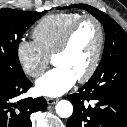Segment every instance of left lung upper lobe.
I'll return each mask as SVG.
<instances>
[{"label": "left lung upper lobe", "instance_id": "left-lung-upper-lobe-1", "mask_svg": "<svg viewBox=\"0 0 127 127\" xmlns=\"http://www.w3.org/2000/svg\"><path fill=\"white\" fill-rule=\"evenodd\" d=\"M66 8H82L96 17L104 26L105 48L102 60L94 74L103 71L115 62L127 61V34L112 18L106 13L86 4H75Z\"/></svg>", "mask_w": 127, "mask_h": 127}]
</instances>
